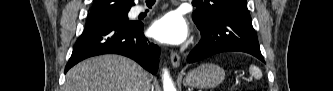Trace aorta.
<instances>
[{
  "mask_svg": "<svg viewBox=\"0 0 333 91\" xmlns=\"http://www.w3.org/2000/svg\"><path fill=\"white\" fill-rule=\"evenodd\" d=\"M163 89L164 91H176L175 86L167 70H164L163 73Z\"/></svg>",
  "mask_w": 333,
  "mask_h": 91,
  "instance_id": "aorta-1",
  "label": "aorta"
}]
</instances>
